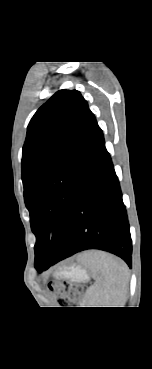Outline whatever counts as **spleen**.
<instances>
[{"mask_svg": "<svg viewBox=\"0 0 152 369\" xmlns=\"http://www.w3.org/2000/svg\"><path fill=\"white\" fill-rule=\"evenodd\" d=\"M96 282L85 294V303L90 307H124L128 290V268L126 264L105 252L92 251L86 258Z\"/></svg>", "mask_w": 152, "mask_h": 369, "instance_id": "spleen-1", "label": "spleen"}]
</instances>
